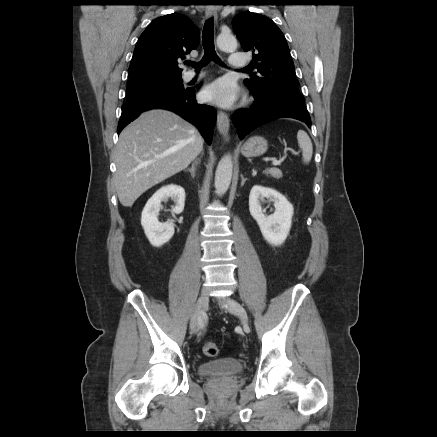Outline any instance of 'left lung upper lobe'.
Here are the masks:
<instances>
[{"instance_id":"5c2ea615","label":"left lung upper lobe","mask_w":437,"mask_h":437,"mask_svg":"<svg viewBox=\"0 0 437 437\" xmlns=\"http://www.w3.org/2000/svg\"><path fill=\"white\" fill-rule=\"evenodd\" d=\"M234 32L245 52H251L257 73H250L244 83L255 99H284L303 103L294 63L282 31L268 17L244 11L232 22Z\"/></svg>"}]
</instances>
